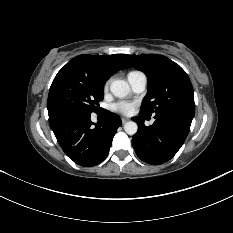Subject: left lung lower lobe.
<instances>
[{"label": "left lung lower lobe", "mask_w": 233, "mask_h": 233, "mask_svg": "<svg viewBox=\"0 0 233 233\" xmlns=\"http://www.w3.org/2000/svg\"><path fill=\"white\" fill-rule=\"evenodd\" d=\"M146 114L132 120L138 124V132L132 138L137 156L144 162L159 165L170 160L183 145L192 119L173 113L155 115L152 126L144 125Z\"/></svg>", "instance_id": "obj_1"}]
</instances>
